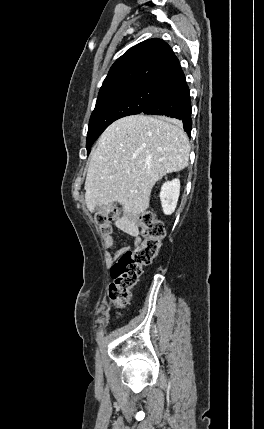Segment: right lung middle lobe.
<instances>
[{
  "label": "right lung middle lobe",
  "instance_id": "obj_1",
  "mask_svg": "<svg viewBox=\"0 0 264 429\" xmlns=\"http://www.w3.org/2000/svg\"><path fill=\"white\" fill-rule=\"evenodd\" d=\"M159 86L140 84L98 96L91 114L86 140L87 154L94 141L115 120L141 113Z\"/></svg>",
  "mask_w": 264,
  "mask_h": 429
}]
</instances>
